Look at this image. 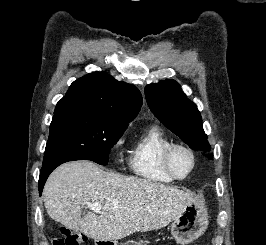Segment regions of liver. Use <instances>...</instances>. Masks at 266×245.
<instances>
[{
  "label": "liver",
  "mask_w": 266,
  "mask_h": 245,
  "mask_svg": "<svg viewBox=\"0 0 266 245\" xmlns=\"http://www.w3.org/2000/svg\"><path fill=\"white\" fill-rule=\"evenodd\" d=\"M43 199L50 219L95 241L163 229L194 201L178 187L107 173L91 161H73L55 169L46 181ZM88 203H99L101 213L86 211L82 219Z\"/></svg>",
  "instance_id": "obj_1"
}]
</instances>
